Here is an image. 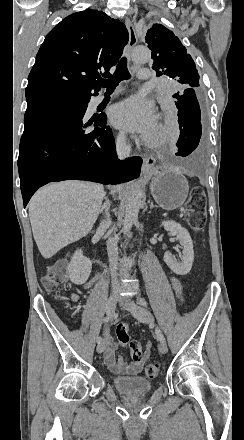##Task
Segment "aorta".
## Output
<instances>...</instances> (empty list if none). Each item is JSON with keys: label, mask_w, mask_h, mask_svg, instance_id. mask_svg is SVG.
<instances>
[{"label": "aorta", "mask_w": 244, "mask_h": 440, "mask_svg": "<svg viewBox=\"0 0 244 440\" xmlns=\"http://www.w3.org/2000/svg\"><path fill=\"white\" fill-rule=\"evenodd\" d=\"M151 54L148 48L137 46L132 52V60L137 63L145 62L150 58ZM142 190L140 185H135L127 198L125 217L123 221V233L127 235L138 218L141 207Z\"/></svg>", "instance_id": "aorta-1"}]
</instances>
